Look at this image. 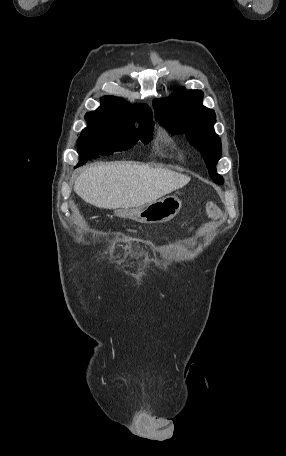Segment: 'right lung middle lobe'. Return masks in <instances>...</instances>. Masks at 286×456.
<instances>
[{
  "label": "right lung middle lobe",
  "instance_id": "obj_1",
  "mask_svg": "<svg viewBox=\"0 0 286 456\" xmlns=\"http://www.w3.org/2000/svg\"><path fill=\"white\" fill-rule=\"evenodd\" d=\"M85 119L89 126L81 132L77 141L79 163L76 167L99 155H111L131 148L139 139L144 143L152 139L153 120L137 121L140 127L135 129V120L109 114L90 112Z\"/></svg>",
  "mask_w": 286,
  "mask_h": 456
}]
</instances>
